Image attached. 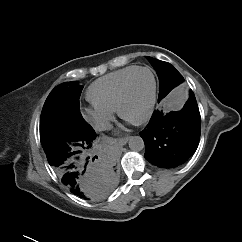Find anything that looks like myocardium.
Here are the masks:
<instances>
[{
  "label": "myocardium",
  "instance_id": "1",
  "mask_svg": "<svg viewBox=\"0 0 242 242\" xmlns=\"http://www.w3.org/2000/svg\"><path fill=\"white\" fill-rule=\"evenodd\" d=\"M140 71H147L150 73V75L152 77V81H153L152 94H151L149 105H148L147 110L144 113V115L137 120H129L125 117V115L123 113V105L127 98L130 82H131L132 78L134 77V75ZM157 91H158V83H157V78H156L154 71L148 67H137L135 70H133L127 76V78L125 79V81L123 82V85L121 87V90H120V93L118 96V100H117V108H116L118 115L122 119H124L134 125H141V124L146 123L151 118V116L154 112L156 101H157Z\"/></svg>",
  "mask_w": 242,
  "mask_h": 242
}]
</instances>
